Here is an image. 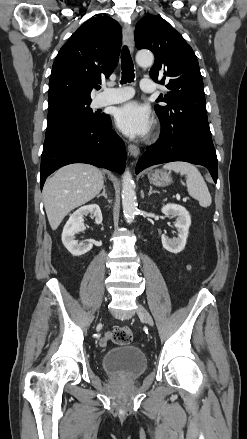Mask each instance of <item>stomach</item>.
<instances>
[{"mask_svg":"<svg viewBox=\"0 0 247 439\" xmlns=\"http://www.w3.org/2000/svg\"><path fill=\"white\" fill-rule=\"evenodd\" d=\"M150 182L159 187L167 186L172 183V178L169 173L162 170H155L148 174Z\"/></svg>","mask_w":247,"mask_h":439,"instance_id":"obj_1","label":"stomach"}]
</instances>
